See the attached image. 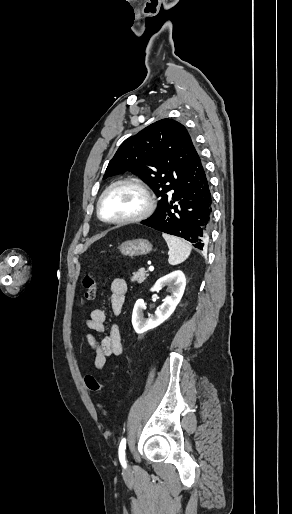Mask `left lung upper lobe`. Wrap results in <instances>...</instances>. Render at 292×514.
Here are the masks:
<instances>
[{
	"label": "left lung upper lobe",
	"mask_w": 292,
	"mask_h": 514,
	"mask_svg": "<svg viewBox=\"0 0 292 514\" xmlns=\"http://www.w3.org/2000/svg\"><path fill=\"white\" fill-rule=\"evenodd\" d=\"M192 148L191 136L181 123L159 120L120 145L103 179L132 172L150 186L160 201L183 176Z\"/></svg>",
	"instance_id": "left-lung-upper-lobe-1"
}]
</instances>
